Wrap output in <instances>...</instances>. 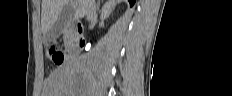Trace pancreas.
Instances as JSON below:
<instances>
[{"mask_svg":"<svg viewBox=\"0 0 232 96\" xmlns=\"http://www.w3.org/2000/svg\"><path fill=\"white\" fill-rule=\"evenodd\" d=\"M64 43L67 47L71 46L73 44V40H71L70 38L68 37H65L64 39Z\"/></svg>","mask_w":232,"mask_h":96,"instance_id":"obj_1","label":"pancreas"}]
</instances>
